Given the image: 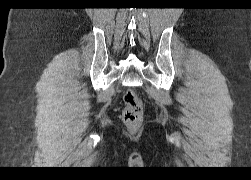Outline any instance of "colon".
Segmentation results:
<instances>
[{
    "instance_id": "1",
    "label": "colon",
    "mask_w": 251,
    "mask_h": 180,
    "mask_svg": "<svg viewBox=\"0 0 251 180\" xmlns=\"http://www.w3.org/2000/svg\"><path fill=\"white\" fill-rule=\"evenodd\" d=\"M124 123L131 129H137L143 120V104L139 95L129 90L124 95V108L122 111Z\"/></svg>"
}]
</instances>
